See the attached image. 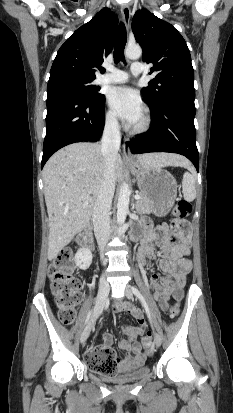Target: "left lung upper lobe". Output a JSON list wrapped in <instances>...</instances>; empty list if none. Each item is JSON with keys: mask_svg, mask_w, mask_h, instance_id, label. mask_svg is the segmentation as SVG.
Wrapping results in <instances>:
<instances>
[{"mask_svg": "<svg viewBox=\"0 0 233 413\" xmlns=\"http://www.w3.org/2000/svg\"><path fill=\"white\" fill-rule=\"evenodd\" d=\"M132 29L143 49L142 60L153 64L149 74L155 78L142 88L149 107L155 109L173 101L195 106L191 56L180 33L146 9L135 13Z\"/></svg>", "mask_w": 233, "mask_h": 413, "instance_id": "left-lung-upper-lobe-1", "label": "left lung upper lobe"}]
</instances>
